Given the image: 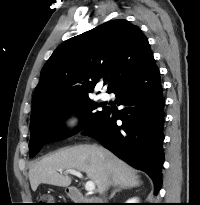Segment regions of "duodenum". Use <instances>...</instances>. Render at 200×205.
Instances as JSON below:
<instances>
[{
    "label": "duodenum",
    "instance_id": "duodenum-1",
    "mask_svg": "<svg viewBox=\"0 0 200 205\" xmlns=\"http://www.w3.org/2000/svg\"><path fill=\"white\" fill-rule=\"evenodd\" d=\"M68 195L70 199L77 203H85V202H97L98 199L96 198H87L79 189L75 187H70L68 189Z\"/></svg>",
    "mask_w": 200,
    "mask_h": 205
}]
</instances>
